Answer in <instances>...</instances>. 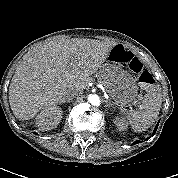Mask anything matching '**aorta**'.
I'll return each instance as SVG.
<instances>
[{"instance_id": "obj_1", "label": "aorta", "mask_w": 178, "mask_h": 178, "mask_svg": "<svg viewBox=\"0 0 178 178\" xmlns=\"http://www.w3.org/2000/svg\"><path fill=\"white\" fill-rule=\"evenodd\" d=\"M88 101L94 106H99L100 105V98H99L98 95H90L88 97Z\"/></svg>"}]
</instances>
